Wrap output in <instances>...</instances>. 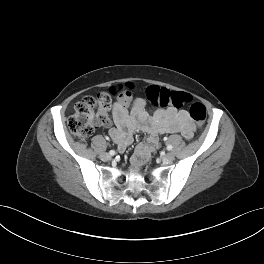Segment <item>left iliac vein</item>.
<instances>
[{
	"mask_svg": "<svg viewBox=\"0 0 264 264\" xmlns=\"http://www.w3.org/2000/svg\"><path fill=\"white\" fill-rule=\"evenodd\" d=\"M174 158H175L174 153L168 152L162 157V160L164 163H170L174 160Z\"/></svg>",
	"mask_w": 264,
	"mask_h": 264,
	"instance_id": "1",
	"label": "left iliac vein"
}]
</instances>
